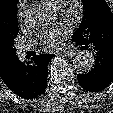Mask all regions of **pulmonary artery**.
I'll return each mask as SVG.
<instances>
[{
	"label": "pulmonary artery",
	"mask_w": 113,
	"mask_h": 113,
	"mask_svg": "<svg viewBox=\"0 0 113 113\" xmlns=\"http://www.w3.org/2000/svg\"><path fill=\"white\" fill-rule=\"evenodd\" d=\"M29 48H30L29 46H21L20 51L24 52V51L28 50Z\"/></svg>",
	"instance_id": "e3ab8cb5"
}]
</instances>
